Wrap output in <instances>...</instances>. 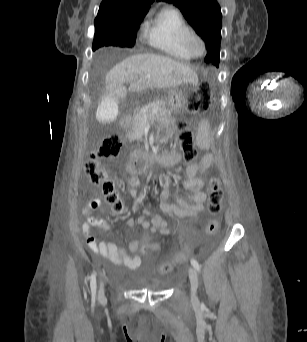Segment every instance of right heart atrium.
<instances>
[{
  "mask_svg": "<svg viewBox=\"0 0 307 342\" xmlns=\"http://www.w3.org/2000/svg\"><path fill=\"white\" fill-rule=\"evenodd\" d=\"M140 30H141V32H142V33H144V31H143V30H144V29H143V27H140Z\"/></svg>",
  "mask_w": 307,
  "mask_h": 342,
  "instance_id": "1",
  "label": "right heart atrium"
}]
</instances>
